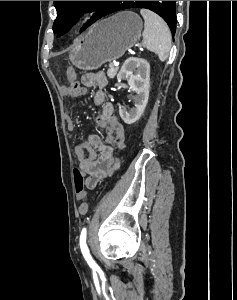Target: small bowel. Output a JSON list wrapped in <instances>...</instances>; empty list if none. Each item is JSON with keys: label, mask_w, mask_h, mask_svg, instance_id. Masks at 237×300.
<instances>
[{"label": "small bowel", "mask_w": 237, "mask_h": 300, "mask_svg": "<svg viewBox=\"0 0 237 300\" xmlns=\"http://www.w3.org/2000/svg\"><path fill=\"white\" fill-rule=\"evenodd\" d=\"M74 72L69 73L70 83L77 82ZM108 83L107 77L102 71L87 73L82 77V91H76L72 87H61L64 97L77 99L84 94L85 88L94 85L99 86V90L94 95V103L101 108L100 114L96 118L98 126L105 130L104 141L97 135H90L87 141L76 147L75 152L80 163V171L87 175L86 186L94 189L98 183L110 176L119 166L120 160L115 157L114 150L122 149L125 142V131L123 125L114 115V106L106 100L104 88ZM68 130L74 129L72 118L66 116ZM88 211L86 202L79 206V213L85 215Z\"/></svg>", "instance_id": "1"}]
</instances>
